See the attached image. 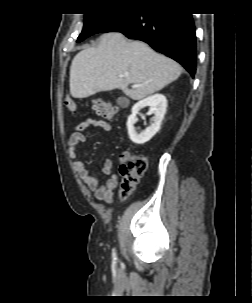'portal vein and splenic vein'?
Listing matches in <instances>:
<instances>
[{
    "label": "portal vein and splenic vein",
    "instance_id": "1",
    "mask_svg": "<svg viewBox=\"0 0 252 303\" xmlns=\"http://www.w3.org/2000/svg\"><path fill=\"white\" fill-rule=\"evenodd\" d=\"M120 77H126V75H121ZM133 87H138V85L134 84Z\"/></svg>",
    "mask_w": 252,
    "mask_h": 303
}]
</instances>
